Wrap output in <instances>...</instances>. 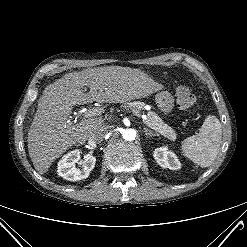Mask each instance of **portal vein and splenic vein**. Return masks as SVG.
I'll list each match as a JSON object with an SVG mask.
<instances>
[{
  "instance_id": "obj_1",
  "label": "portal vein and splenic vein",
  "mask_w": 247,
  "mask_h": 247,
  "mask_svg": "<svg viewBox=\"0 0 247 247\" xmlns=\"http://www.w3.org/2000/svg\"><path fill=\"white\" fill-rule=\"evenodd\" d=\"M102 112H103V109L102 108H99V107L92 108V109H89V110H87V111L84 112V117L89 118V117H93V116H99V115H101ZM132 113L135 116H137L138 118H140V117L143 118V119L146 118L145 115H142L141 116V114L138 111H136V110H132Z\"/></svg>"
}]
</instances>
